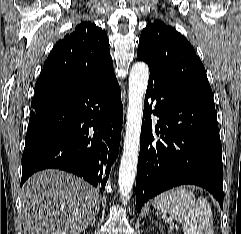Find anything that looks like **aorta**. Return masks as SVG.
<instances>
[{"instance_id": "762f6f07", "label": "aorta", "mask_w": 241, "mask_h": 234, "mask_svg": "<svg viewBox=\"0 0 241 234\" xmlns=\"http://www.w3.org/2000/svg\"><path fill=\"white\" fill-rule=\"evenodd\" d=\"M149 74L148 65L140 61L132 66L129 75L126 131L118 175L119 192L124 204H127L130 199L137 171L143 98L147 89Z\"/></svg>"}]
</instances>
